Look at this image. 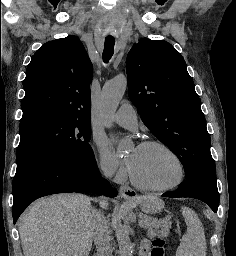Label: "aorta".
Returning a JSON list of instances; mask_svg holds the SVG:
<instances>
[{
	"label": "aorta",
	"mask_w": 236,
	"mask_h": 256,
	"mask_svg": "<svg viewBox=\"0 0 236 256\" xmlns=\"http://www.w3.org/2000/svg\"><path fill=\"white\" fill-rule=\"evenodd\" d=\"M126 88L127 78L124 75L117 76L103 86L101 94V112L105 120V126H110L112 116L117 110ZM114 230L120 256H132V245L129 232L119 219L114 221Z\"/></svg>",
	"instance_id": "obj_1"
}]
</instances>
